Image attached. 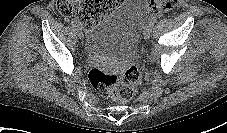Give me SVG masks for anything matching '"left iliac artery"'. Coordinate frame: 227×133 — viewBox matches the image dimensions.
Instances as JSON below:
<instances>
[{"mask_svg": "<svg viewBox=\"0 0 227 133\" xmlns=\"http://www.w3.org/2000/svg\"><path fill=\"white\" fill-rule=\"evenodd\" d=\"M156 21H157V17L156 16H151V18L149 19V22L148 23L151 26H153L156 23Z\"/></svg>", "mask_w": 227, "mask_h": 133, "instance_id": "44dca946", "label": "left iliac artery"}]
</instances>
